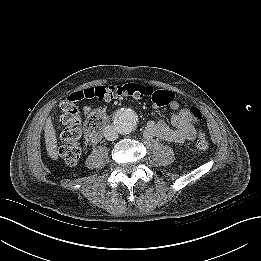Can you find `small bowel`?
<instances>
[{"mask_svg": "<svg viewBox=\"0 0 261 261\" xmlns=\"http://www.w3.org/2000/svg\"><path fill=\"white\" fill-rule=\"evenodd\" d=\"M155 107H159L154 103ZM175 112L171 117L169 124L163 120H150L145 126V135L148 138H159L165 141L183 143L192 141L196 138L195 128L196 120L190 108L181 107L175 99L168 105ZM84 115L90 113V107H83Z\"/></svg>", "mask_w": 261, "mask_h": 261, "instance_id": "1", "label": "small bowel"}]
</instances>
